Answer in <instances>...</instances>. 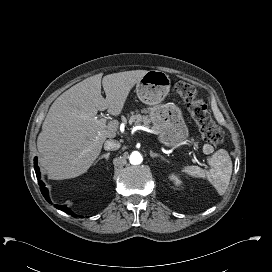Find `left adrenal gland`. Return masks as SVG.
I'll list each match as a JSON object with an SVG mask.
<instances>
[{
  "mask_svg": "<svg viewBox=\"0 0 272 272\" xmlns=\"http://www.w3.org/2000/svg\"><path fill=\"white\" fill-rule=\"evenodd\" d=\"M150 156H151L152 158H157V157H159V158H161L162 160L168 162V160H166L162 155H160V154H158V153H154L153 151H150Z\"/></svg>",
  "mask_w": 272,
  "mask_h": 272,
  "instance_id": "obj_1",
  "label": "left adrenal gland"
}]
</instances>
